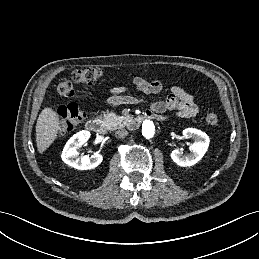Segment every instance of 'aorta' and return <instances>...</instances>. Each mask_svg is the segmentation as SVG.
I'll return each instance as SVG.
<instances>
[{
	"mask_svg": "<svg viewBox=\"0 0 259 259\" xmlns=\"http://www.w3.org/2000/svg\"><path fill=\"white\" fill-rule=\"evenodd\" d=\"M155 134V125L153 121L146 119L142 123V135L146 139H150L154 136Z\"/></svg>",
	"mask_w": 259,
	"mask_h": 259,
	"instance_id": "762f6f07",
	"label": "aorta"
}]
</instances>
